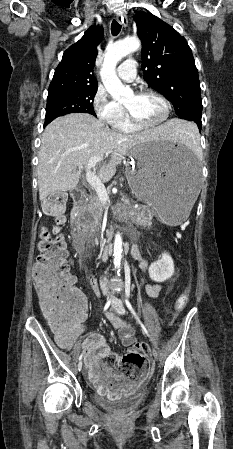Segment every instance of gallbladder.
I'll return each mask as SVG.
<instances>
[{
  "mask_svg": "<svg viewBox=\"0 0 233 449\" xmlns=\"http://www.w3.org/2000/svg\"><path fill=\"white\" fill-rule=\"evenodd\" d=\"M60 196H63V197H65V194H64L63 192H61V193H60Z\"/></svg>",
  "mask_w": 233,
  "mask_h": 449,
  "instance_id": "bac80fb5",
  "label": "gallbladder"
}]
</instances>
